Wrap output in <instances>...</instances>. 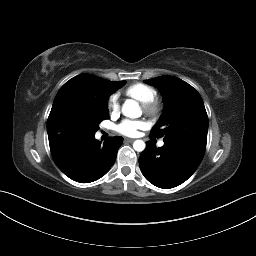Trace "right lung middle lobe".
I'll return each instance as SVG.
<instances>
[{
	"label": "right lung middle lobe",
	"mask_w": 256,
	"mask_h": 256,
	"mask_svg": "<svg viewBox=\"0 0 256 256\" xmlns=\"http://www.w3.org/2000/svg\"><path fill=\"white\" fill-rule=\"evenodd\" d=\"M126 81H118L104 89L108 95L122 87ZM107 105L92 106L86 111L69 109L59 118L58 135L73 134L78 136L93 135L99 129L102 120L108 119Z\"/></svg>",
	"instance_id": "right-lung-middle-lobe-1"
}]
</instances>
